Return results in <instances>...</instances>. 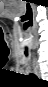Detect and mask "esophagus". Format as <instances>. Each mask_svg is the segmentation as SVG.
Segmentation results:
<instances>
[{
  "label": "esophagus",
  "instance_id": "34e87169",
  "mask_svg": "<svg viewBox=\"0 0 48 87\" xmlns=\"http://www.w3.org/2000/svg\"><path fill=\"white\" fill-rule=\"evenodd\" d=\"M33 64H34V67H35V70H36L37 75H40L39 70H38V65H37V62H36L35 59H34Z\"/></svg>",
  "mask_w": 48,
  "mask_h": 87
}]
</instances>
